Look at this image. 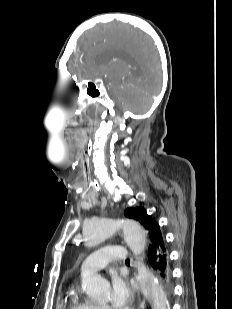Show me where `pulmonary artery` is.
<instances>
[{
  "instance_id": "1",
  "label": "pulmonary artery",
  "mask_w": 232,
  "mask_h": 309,
  "mask_svg": "<svg viewBox=\"0 0 232 309\" xmlns=\"http://www.w3.org/2000/svg\"><path fill=\"white\" fill-rule=\"evenodd\" d=\"M128 252L120 246H106L91 253L81 264L82 275L93 274L102 269L109 261H124Z\"/></svg>"
}]
</instances>
